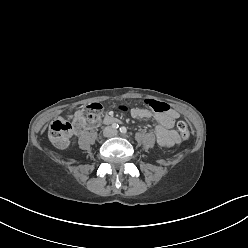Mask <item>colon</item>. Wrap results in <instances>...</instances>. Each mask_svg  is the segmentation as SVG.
<instances>
[{
	"mask_svg": "<svg viewBox=\"0 0 248 248\" xmlns=\"http://www.w3.org/2000/svg\"><path fill=\"white\" fill-rule=\"evenodd\" d=\"M144 103L155 112H164L169 109L168 104L156 100H145ZM121 109L127 111L125 106H122ZM101 113V105L94 103L79 109L73 115L74 121L72 123L64 118H57L49 127L48 136L51 142L58 148H65L73 132L78 133L82 128L97 124L101 118ZM177 128L184 140L189 138L190 132L186 122L179 121Z\"/></svg>",
	"mask_w": 248,
	"mask_h": 248,
	"instance_id": "obj_1",
	"label": "colon"
}]
</instances>
